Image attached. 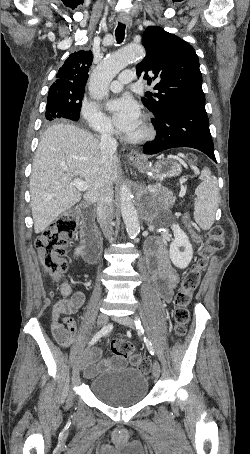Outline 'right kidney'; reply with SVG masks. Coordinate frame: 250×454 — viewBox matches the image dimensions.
Here are the masks:
<instances>
[{"mask_svg": "<svg viewBox=\"0 0 250 454\" xmlns=\"http://www.w3.org/2000/svg\"><path fill=\"white\" fill-rule=\"evenodd\" d=\"M80 253H82V248H76L75 255L78 256Z\"/></svg>", "mask_w": 250, "mask_h": 454, "instance_id": "ca27d5eb", "label": "right kidney"}]
</instances>
